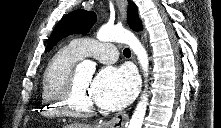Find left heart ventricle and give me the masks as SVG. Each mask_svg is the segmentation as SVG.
Returning a JSON list of instances; mask_svg holds the SVG:
<instances>
[{
    "instance_id": "left-heart-ventricle-1",
    "label": "left heart ventricle",
    "mask_w": 221,
    "mask_h": 128,
    "mask_svg": "<svg viewBox=\"0 0 221 128\" xmlns=\"http://www.w3.org/2000/svg\"><path fill=\"white\" fill-rule=\"evenodd\" d=\"M89 81H90V78L88 77L76 75V85H77V91H78L77 99L80 104H87V103L93 104V101L90 98L89 93H88Z\"/></svg>"
}]
</instances>
